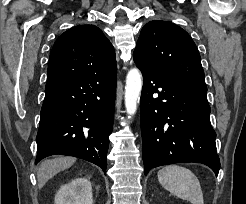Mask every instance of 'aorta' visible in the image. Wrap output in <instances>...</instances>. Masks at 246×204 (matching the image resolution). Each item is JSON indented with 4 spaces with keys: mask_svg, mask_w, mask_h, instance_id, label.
<instances>
[{
    "mask_svg": "<svg viewBox=\"0 0 246 204\" xmlns=\"http://www.w3.org/2000/svg\"><path fill=\"white\" fill-rule=\"evenodd\" d=\"M142 84L141 72L137 68L131 69L127 74L125 86V107L129 116L136 113Z\"/></svg>",
    "mask_w": 246,
    "mask_h": 204,
    "instance_id": "obj_1",
    "label": "aorta"
}]
</instances>
